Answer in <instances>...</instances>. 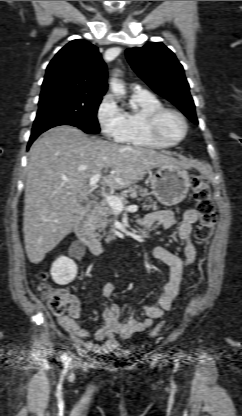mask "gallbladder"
Instances as JSON below:
<instances>
[{"label": "gallbladder", "instance_id": "bac80fb5", "mask_svg": "<svg viewBox=\"0 0 242 416\" xmlns=\"http://www.w3.org/2000/svg\"><path fill=\"white\" fill-rule=\"evenodd\" d=\"M78 201H79V203H80V205H81V208H82V209H84V208H85V206H86V202H85V201H83V200H81V199H78Z\"/></svg>", "mask_w": 242, "mask_h": 416}]
</instances>
